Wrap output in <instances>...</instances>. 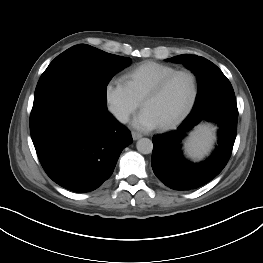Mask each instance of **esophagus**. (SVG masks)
Masks as SVG:
<instances>
[{
  "mask_svg": "<svg viewBox=\"0 0 263 263\" xmlns=\"http://www.w3.org/2000/svg\"><path fill=\"white\" fill-rule=\"evenodd\" d=\"M131 134H132L133 140H138V139H140L142 137V134L139 133V132H136V131H132Z\"/></svg>",
  "mask_w": 263,
  "mask_h": 263,
  "instance_id": "obj_1",
  "label": "esophagus"
}]
</instances>
